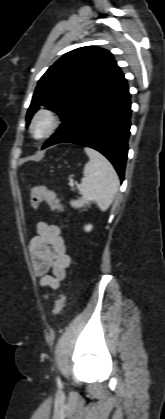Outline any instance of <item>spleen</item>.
I'll use <instances>...</instances> for the list:
<instances>
[{
    "instance_id": "1",
    "label": "spleen",
    "mask_w": 165,
    "mask_h": 419,
    "mask_svg": "<svg viewBox=\"0 0 165 419\" xmlns=\"http://www.w3.org/2000/svg\"><path fill=\"white\" fill-rule=\"evenodd\" d=\"M89 162L85 165L80 185L82 197L71 201L75 208L95 202L101 211L112 204L119 188V178L112 164L98 151L86 147Z\"/></svg>"
}]
</instances>
